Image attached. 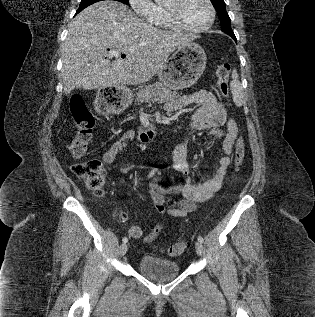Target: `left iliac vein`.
I'll use <instances>...</instances> for the list:
<instances>
[{
    "label": "left iliac vein",
    "instance_id": "obj_1",
    "mask_svg": "<svg viewBox=\"0 0 315 317\" xmlns=\"http://www.w3.org/2000/svg\"><path fill=\"white\" fill-rule=\"evenodd\" d=\"M195 249H196V252H197V254L198 255H202L203 254V252H204V247H203V245H202V243L200 242V241H197L196 243H195Z\"/></svg>",
    "mask_w": 315,
    "mask_h": 317
}]
</instances>
